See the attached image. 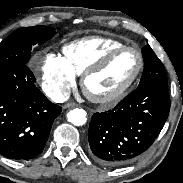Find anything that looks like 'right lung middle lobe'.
Instances as JSON below:
<instances>
[{"label": "right lung middle lobe", "mask_w": 183, "mask_h": 183, "mask_svg": "<svg viewBox=\"0 0 183 183\" xmlns=\"http://www.w3.org/2000/svg\"><path fill=\"white\" fill-rule=\"evenodd\" d=\"M54 34L55 29L46 26L15 30L0 44V68L27 64L32 47L43 44Z\"/></svg>", "instance_id": "obj_1"}]
</instances>
